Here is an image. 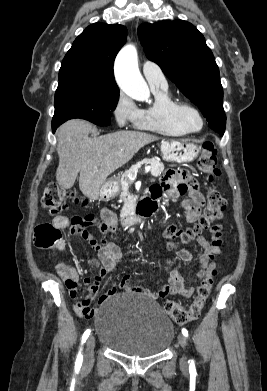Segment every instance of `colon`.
Listing matches in <instances>:
<instances>
[{
  "label": "colon",
  "mask_w": 267,
  "mask_h": 391,
  "mask_svg": "<svg viewBox=\"0 0 267 391\" xmlns=\"http://www.w3.org/2000/svg\"><path fill=\"white\" fill-rule=\"evenodd\" d=\"M216 149L211 141H206L203 144V151L198 157L197 167L206 175L208 182H213L220 176V170L217 168ZM82 198L75 192L66 190L58 184L51 183L46 186L41 197V205L50 214L60 215L64 210L68 209L71 203H81ZM226 208V199L221 192L216 188H212L208 192L207 204L202 216L196 224L182 232V241H188L194 236L203 231H213V223L220 219ZM92 220V216H87ZM99 231L103 234V239L100 241L93 240L92 244L96 249L104 248L110 241L106 238L108 228L102 222L96 223ZM61 237L60 231L49 223L39 224L35 228L34 241L36 246L40 248H53ZM178 244L176 238H172L169 242V247L174 248ZM216 271L213 270L209 277L203 279L196 290L194 300L188 307H183L175 301L167 300L163 304L166 313L178 324H186L196 320L204 307V304L211 292L214 276Z\"/></svg>",
  "instance_id": "5ec220e1"
}]
</instances>
